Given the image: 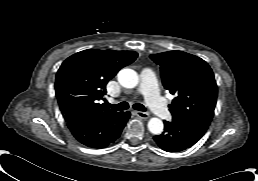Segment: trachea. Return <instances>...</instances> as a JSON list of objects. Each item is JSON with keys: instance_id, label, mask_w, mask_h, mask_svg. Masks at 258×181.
<instances>
[{"instance_id": "3493384b", "label": "trachea", "mask_w": 258, "mask_h": 181, "mask_svg": "<svg viewBox=\"0 0 258 181\" xmlns=\"http://www.w3.org/2000/svg\"><path fill=\"white\" fill-rule=\"evenodd\" d=\"M107 105L110 108H112L114 110H117V111H123V110H126V109L129 108V104L127 102H121L119 104H110V103H108ZM133 108L135 110H139V111H146V108L142 104H139V103L134 104Z\"/></svg>"}]
</instances>
